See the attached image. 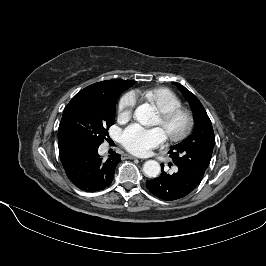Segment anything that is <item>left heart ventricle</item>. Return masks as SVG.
<instances>
[{"instance_id": "obj_1", "label": "left heart ventricle", "mask_w": 266, "mask_h": 266, "mask_svg": "<svg viewBox=\"0 0 266 266\" xmlns=\"http://www.w3.org/2000/svg\"><path fill=\"white\" fill-rule=\"evenodd\" d=\"M155 125L161 127L166 134H170V133H176L179 130H181V128L184 125V121L182 118H179L171 123L165 124L162 122L161 118L158 117L157 120L155 121Z\"/></svg>"}]
</instances>
